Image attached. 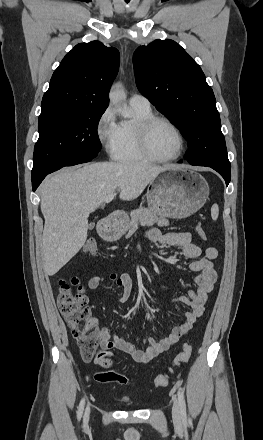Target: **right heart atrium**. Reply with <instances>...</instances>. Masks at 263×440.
I'll return each mask as SVG.
<instances>
[{
    "instance_id": "d8ad5b80",
    "label": "right heart atrium",
    "mask_w": 263,
    "mask_h": 440,
    "mask_svg": "<svg viewBox=\"0 0 263 440\" xmlns=\"http://www.w3.org/2000/svg\"><path fill=\"white\" fill-rule=\"evenodd\" d=\"M96 135L105 151L113 155L120 137V125L110 106L106 107L97 119Z\"/></svg>"
}]
</instances>
